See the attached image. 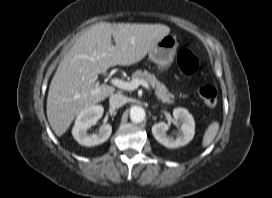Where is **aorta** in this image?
Here are the masks:
<instances>
[{
	"instance_id": "1",
	"label": "aorta",
	"mask_w": 272,
	"mask_h": 198,
	"mask_svg": "<svg viewBox=\"0 0 272 198\" xmlns=\"http://www.w3.org/2000/svg\"><path fill=\"white\" fill-rule=\"evenodd\" d=\"M146 113L142 107L135 106L130 110V119L132 122L140 123L145 119Z\"/></svg>"
}]
</instances>
